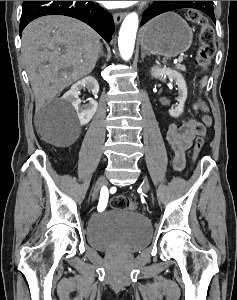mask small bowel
<instances>
[{
	"instance_id": "1",
	"label": "small bowel",
	"mask_w": 237,
	"mask_h": 300,
	"mask_svg": "<svg viewBox=\"0 0 237 300\" xmlns=\"http://www.w3.org/2000/svg\"><path fill=\"white\" fill-rule=\"evenodd\" d=\"M193 107L195 111L198 110L197 104H194ZM210 125L211 118L208 115L204 116L202 121L189 119L169 125L166 139L175 153L173 159L175 170H183L185 166V151L191 148L195 137L205 136L206 128Z\"/></svg>"
}]
</instances>
